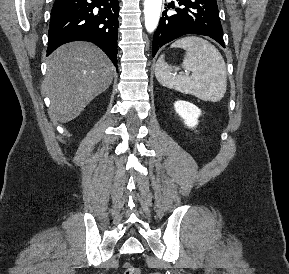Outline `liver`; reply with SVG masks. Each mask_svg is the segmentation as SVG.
<instances>
[{
    "instance_id": "obj_1",
    "label": "liver",
    "mask_w": 289,
    "mask_h": 274,
    "mask_svg": "<svg viewBox=\"0 0 289 274\" xmlns=\"http://www.w3.org/2000/svg\"><path fill=\"white\" fill-rule=\"evenodd\" d=\"M114 66L97 46L71 42L56 49L48 59L44 88L51 100L52 117L67 123L78 117L113 80Z\"/></svg>"
}]
</instances>
